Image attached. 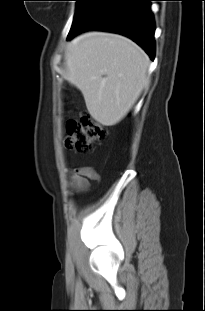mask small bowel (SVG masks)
I'll use <instances>...</instances> for the list:
<instances>
[{
    "label": "small bowel",
    "instance_id": "small-bowel-1",
    "mask_svg": "<svg viewBox=\"0 0 205 311\" xmlns=\"http://www.w3.org/2000/svg\"><path fill=\"white\" fill-rule=\"evenodd\" d=\"M98 172L86 166L75 168L70 174V187L74 192L84 191L89 187L90 181H98Z\"/></svg>",
    "mask_w": 205,
    "mask_h": 311
}]
</instances>
